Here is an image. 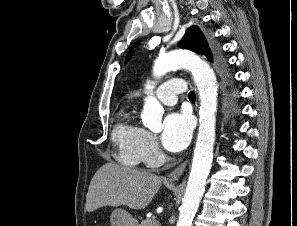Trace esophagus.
Returning <instances> with one entry per match:
<instances>
[{
  "instance_id": "esophagus-1",
  "label": "esophagus",
  "mask_w": 297,
  "mask_h": 226,
  "mask_svg": "<svg viewBox=\"0 0 297 226\" xmlns=\"http://www.w3.org/2000/svg\"><path fill=\"white\" fill-rule=\"evenodd\" d=\"M187 166V160L184 161L183 163H181L179 166H177L168 176H167V180L170 182H174L176 180H178L181 175L183 174V172L185 171Z\"/></svg>"
}]
</instances>
